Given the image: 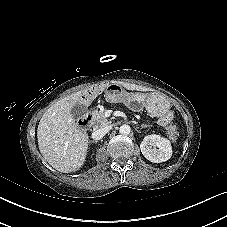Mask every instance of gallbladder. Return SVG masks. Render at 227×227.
<instances>
[{
    "instance_id": "gallbladder-1",
    "label": "gallbladder",
    "mask_w": 227,
    "mask_h": 227,
    "mask_svg": "<svg viewBox=\"0 0 227 227\" xmlns=\"http://www.w3.org/2000/svg\"><path fill=\"white\" fill-rule=\"evenodd\" d=\"M87 112V108L84 104L78 103L72 108V115L75 119L80 118Z\"/></svg>"
}]
</instances>
